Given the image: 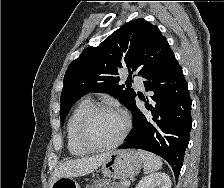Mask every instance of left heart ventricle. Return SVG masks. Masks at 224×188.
Wrapping results in <instances>:
<instances>
[{"mask_svg": "<svg viewBox=\"0 0 224 188\" xmlns=\"http://www.w3.org/2000/svg\"><path fill=\"white\" fill-rule=\"evenodd\" d=\"M124 126L123 117L113 111H101L91 120L88 137L96 144H108L118 138Z\"/></svg>", "mask_w": 224, "mask_h": 188, "instance_id": "obj_1", "label": "left heart ventricle"}]
</instances>
